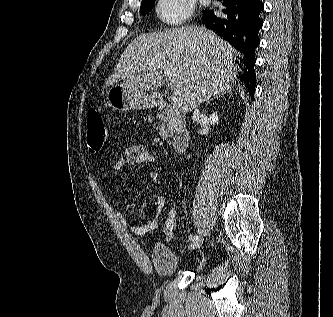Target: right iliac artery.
Here are the masks:
<instances>
[{
    "label": "right iliac artery",
    "instance_id": "obj_1",
    "mask_svg": "<svg viewBox=\"0 0 333 317\" xmlns=\"http://www.w3.org/2000/svg\"><path fill=\"white\" fill-rule=\"evenodd\" d=\"M189 239H190L191 241H194V240H197V239H198V236H197V235H194V234H191V235H189Z\"/></svg>",
    "mask_w": 333,
    "mask_h": 317
}]
</instances>
